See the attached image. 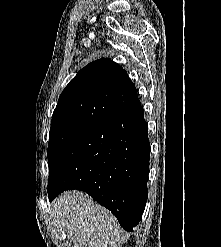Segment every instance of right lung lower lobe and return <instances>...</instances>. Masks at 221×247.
Wrapping results in <instances>:
<instances>
[{
  "label": "right lung lower lobe",
  "instance_id": "obj_1",
  "mask_svg": "<svg viewBox=\"0 0 221 247\" xmlns=\"http://www.w3.org/2000/svg\"><path fill=\"white\" fill-rule=\"evenodd\" d=\"M150 144L141 105L90 127L63 151L49 173L52 201L69 189L87 192L126 231L141 220L148 198Z\"/></svg>",
  "mask_w": 221,
  "mask_h": 247
}]
</instances>
